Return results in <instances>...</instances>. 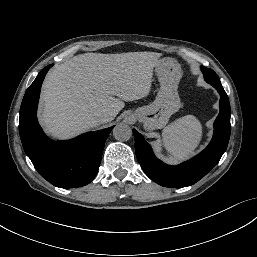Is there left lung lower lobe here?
<instances>
[{
    "label": "left lung lower lobe",
    "instance_id": "obj_1",
    "mask_svg": "<svg viewBox=\"0 0 257 257\" xmlns=\"http://www.w3.org/2000/svg\"><path fill=\"white\" fill-rule=\"evenodd\" d=\"M220 93V113L214 122V135L208 147L196 157L177 166H169L158 160L143 136L133 130L135 152L146 175L159 185L181 188L193 185L204 177L220 160L230 138L231 109L228 96L222 86H214ZM173 176V178H168Z\"/></svg>",
    "mask_w": 257,
    "mask_h": 257
}]
</instances>
